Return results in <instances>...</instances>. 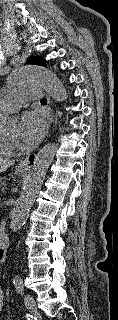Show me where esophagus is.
<instances>
[{"label":"esophagus","mask_w":118,"mask_h":320,"mask_svg":"<svg viewBox=\"0 0 118 320\" xmlns=\"http://www.w3.org/2000/svg\"><path fill=\"white\" fill-rule=\"evenodd\" d=\"M48 104H50V98H47ZM54 121V115L52 113V117L49 121V124H52V122ZM36 162V155L35 154H30L28 155L26 158H24L21 162H20V167L24 168V169H28L33 167V165Z\"/></svg>","instance_id":"34e87169"}]
</instances>
